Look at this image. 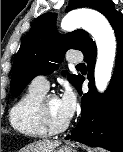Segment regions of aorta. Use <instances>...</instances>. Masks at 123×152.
Instances as JSON below:
<instances>
[{
    "label": "aorta",
    "instance_id": "aorta-1",
    "mask_svg": "<svg viewBox=\"0 0 123 152\" xmlns=\"http://www.w3.org/2000/svg\"><path fill=\"white\" fill-rule=\"evenodd\" d=\"M64 31L83 28L94 38L97 45L95 65V85L99 92H104L111 79L116 55V38L108 20L99 12L77 10L68 13L61 22Z\"/></svg>",
    "mask_w": 123,
    "mask_h": 152
}]
</instances>
